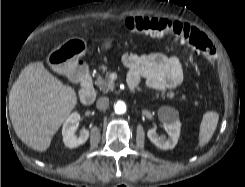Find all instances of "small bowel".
<instances>
[{
	"label": "small bowel",
	"instance_id": "small-bowel-1",
	"mask_svg": "<svg viewBox=\"0 0 245 187\" xmlns=\"http://www.w3.org/2000/svg\"><path fill=\"white\" fill-rule=\"evenodd\" d=\"M122 62L129 70L128 81L132 88L143 80L151 89L166 91L176 88L183 80L181 63L174 56L126 53Z\"/></svg>",
	"mask_w": 245,
	"mask_h": 187
}]
</instances>
